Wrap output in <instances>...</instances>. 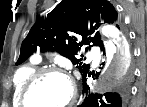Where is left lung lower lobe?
I'll list each match as a JSON object with an SVG mask.
<instances>
[{"label": "left lung lower lobe", "instance_id": "1", "mask_svg": "<svg viewBox=\"0 0 147 107\" xmlns=\"http://www.w3.org/2000/svg\"><path fill=\"white\" fill-rule=\"evenodd\" d=\"M104 51V48L102 49ZM105 53V52H104ZM91 76L88 72L83 76V93L87 94L88 85L86 84L87 77ZM129 98V84L127 79L118 84L113 92L104 94H90L85 98L84 102L78 107H126Z\"/></svg>", "mask_w": 147, "mask_h": 107}]
</instances>
